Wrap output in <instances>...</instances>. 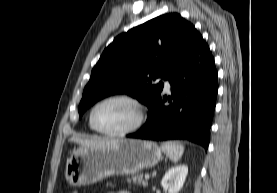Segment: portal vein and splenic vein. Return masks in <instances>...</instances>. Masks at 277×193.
Returning a JSON list of instances; mask_svg holds the SVG:
<instances>
[{
  "instance_id": "portal-vein-and-splenic-vein-1",
  "label": "portal vein and splenic vein",
  "mask_w": 277,
  "mask_h": 193,
  "mask_svg": "<svg viewBox=\"0 0 277 193\" xmlns=\"http://www.w3.org/2000/svg\"><path fill=\"white\" fill-rule=\"evenodd\" d=\"M149 178H150L149 174H146L145 179H149Z\"/></svg>"
}]
</instances>
